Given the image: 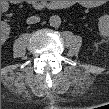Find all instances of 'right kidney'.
I'll return each mask as SVG.
<instances>
[{
  "mask_svg": "<svg viewBox=\"0 0 109 109\" xmlns=\"http://www.w3.org/2000/svg\"><path fill=\"white\" fill-rule=\"evenodd\" d=\"M9 33H10V26L7 25V24H4L2 26V29H1V40H2V42H5L8 39Z\"/></svg>",
  "mask_w": 109,
  "mask_h": 109,
  "instance_id": "obj_1",
  "label": "right kidney"
}]
</instances>
